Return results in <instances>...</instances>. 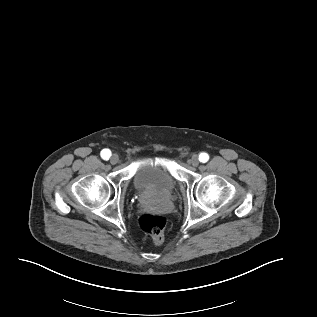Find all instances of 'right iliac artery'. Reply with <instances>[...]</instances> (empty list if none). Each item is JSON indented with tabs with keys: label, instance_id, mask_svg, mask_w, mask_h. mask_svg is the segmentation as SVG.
Masks as SVG:
<instances>
[{
	"label": "right iliac artery",
	"instance_id": "1",
	"mask_svg": "<svg viewBox=\"0 0 317 317\" xmlns=\"http://www.w3.org/2000/svg\"><path fill=\"white\" fill-rule=\"evenodd\" d=\"M100 154L104 160H108L111 156V151L109 149H103Z\"/></svg>",
	"mask_w": 317,
	"mask_h": 317
}]
</instances>
